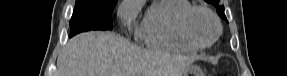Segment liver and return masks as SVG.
<instances>
[{"mask_svg":"<svg viewBox=\"0 0 287 76\" xmlns=\"http://www.w3.org/2000/svg\"><path fill=\"white\" fill-rule=\"evenodd\" d=\"M195 57L142 50L110 32L69 40L57 59L58 76H182Z\"/></svg>","mask_w":287,"mask_h":76,"instance_id":"obj_1","label":"liver"}]
</instances>
